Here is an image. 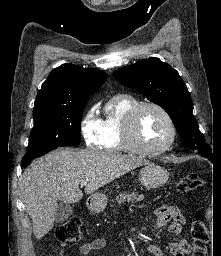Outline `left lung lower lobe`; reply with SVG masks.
<instances>
[{
  "label": "left lung lower lobe",
  "instance_id": "0a47b994",
  "mask_svg": "<svg viewBox=\"0 0 221 256\" xmlns=\"http://www.w3.org/2000/svg\"><path fill=\"white\" fill-rule=\"evenodd\" d=\"M209 160H212V158L210 157V158H208Z\"/></svg>",
  "mask_w": 221,
  "mask_h": 256
}]
</instances>
